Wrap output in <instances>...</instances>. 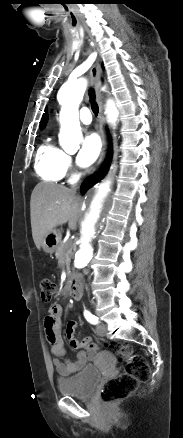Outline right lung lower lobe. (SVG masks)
Masks as SVG:
<instances>
[{"mask_svg":"<svg viewBox=\"0 0 183 438\" xmlns=\"http://www.w3.org/2000/svg\"><path fill=\"white\" fill-rule=\"evenodd\" d=\"M110 159H111V153H109L108 158L105 164L103 165L102 169L100 170V172L95 177L88 178L82 183L81 194H84L90 187H92L96 182L100 181L105 176L109 168Z\"/></svg>","mask_w":183,"mask_h":438,"instance_id":"98d812e1","label":"right lung lower lobe"}]
</instances>
